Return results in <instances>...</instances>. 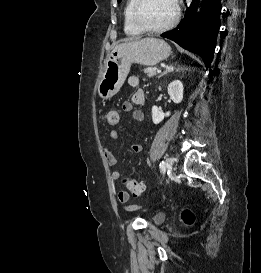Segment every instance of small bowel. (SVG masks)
Wrapping results in <instances>:
<instances>
[{"label": "small bowel", "mask_w": 261, "mask_h": 273, "mask_svg": "<svg viewBox=\"0 0 261 273\" xmlns=\"http://www.w3.org/2000/svg\"><path fill=\"white\" fill-rule=\"evenodd\" d=\"M129 84L132 87H137L140 84V79L137 76H131L128 80ZM146 97L142 90H137L132 96V102L126 101L122 105V109L126 112H132V117L136 122L142 123L144 121V113L142 110H133V104L137 106H143L145 104ZM109 141H115L118 138V131L112 130L109 133ZM132 152L139 153L142 151V145L138 142H134L130 145ZM105 156L107 162L110 166H114L117 163V159L109 148L105 149ZM121 174L118 170H113L111 172V178L113 180H118ZM118 199L121 203H127L129 200V194L121 190L118 192ZM136 206H127V210L133 211L136 210Z\"/></svg>", "instance_id": "c3829d8e"}]
</instances>
